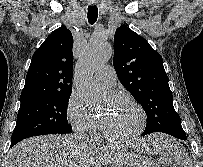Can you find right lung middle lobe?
Returning <instances> with one entry per match:
<instances>
[{"label":"right lung middle lobe","instance_id":"right-lung-middle-lobe-1","mask_svg":"<svg viewBox=\"0 0 203 167\" xmlns=\"http://www.w3.org/2000/svg\"><path fill=\"white\" fill-rule=\"evenodd\" d=\"M70 95L52 94L21 101L11 143L37 135L72 132L66 115Z\"/></svg>","mask_w":203,"mask_h":167}]
</instances>
